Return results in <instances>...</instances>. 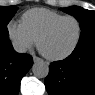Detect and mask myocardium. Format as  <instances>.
<instances>
[{
    "mask_svg": "<svg viewBox=\"0 0 95 95\" xmlns=\"http://www.w3.org/2000/svg\"><path fill=\"white\" fill-rule=\"evenodd\" d=\"M67 19H73L77 22L78 24V37L76 39V42L74 43V45L65 53L61 54V55H58V56H51V55H48L46 54L42 47H41V43L42 41L63 21L67 20ZM82 36H83V25H82V22L81 20L74 16V15H66V16H63L62 18L54 21L53 23H51L38 37L37 39V48L39 50V52L48 60H51V61H60V60H63V59H66L67 57H69L70 55H72L75 50L78 48L81 40H82Z\"/></svg>",
    "mask_w": 95,
    "mask_h": 95,
    "instance_id": "myocardium-1",
    "label": "myocardium"
}]
</instances>
